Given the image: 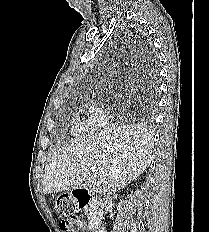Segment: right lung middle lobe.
<instances>
[{
    "instance_id": "right-lung-middle-lobe-1",
    "label": "right lung middle lobe",
    "mask_w": 209,
    "mask_h": 232,
    "mask_svg": "<svg viewBox=\"0 0 209 232\" xmlns=\"http://www.w3.org/2000/svg\"><path fill=\"white\" fill-rule=\"evenodd\" d=\"M151 90H152V94L149 97L151 99L150 100V105H149V107L147 108V111H146L147 124L150 125V126L153 124V107L155 105V103H154L155 100L154 99H155V92H156L154 87H152Z\"/></svg>"
}]
</instances>
